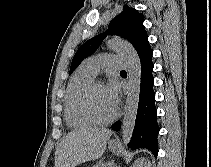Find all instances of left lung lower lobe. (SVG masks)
<instances>
[{
  "instance_id": "obj_1",
  "label": "left lung lower lobe",
  "mask_w": 211,
  "mask_h": 167,
  "mask_svg": "<svg viewBox=\"0 0 211 167\" xmlns=\"http://www.w3.org/2000/svg\"><path fill=\"white\" fill-rule=\"evenodd\" d=\"M153 51L140 59V93L135 127L129 146L132 149L146 148L154 155L158 153L157 135L159 126L157 123V109L155 106V92L153 90L154 77L152 75L154 64L152 62ZM121 121H117L112 129L119 131Z\"/></svg>"
}]
</instances>
